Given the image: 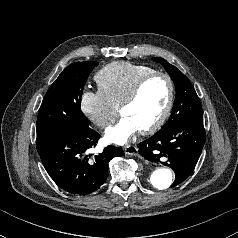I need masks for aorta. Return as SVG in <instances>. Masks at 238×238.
Wrapping results in <instances>:
<instances>
[{
	"label": "aorta",
	"instance_id": "762f6f07",
	"mask_svg": "<svg viewBox=\"0 0 238 238\" xmlns=\"http://www.w3.org/2000/svg\"><path fill=\"white\" fill-rule=\"evenodd\" d=\"M151 184L159 189H168L173 182V173L167 168H154L150 175Z\"/></svg>",
	"mask_w": 238,
	"mask_h": 238
}]
</instances>
